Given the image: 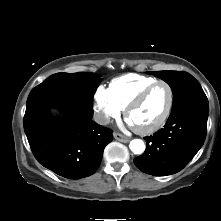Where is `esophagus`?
Segmentation results:
<instances>
[{
	"mask_svg": "<svg viewBox=\"0 0 221 221\" xmlns=\"http://www.w3.org/2000/svg\"><path fill=\"white\" fill-rule=\"evenodd\" d=\"M114 138L120 142L127 143L129 142V138L121 133H114Z\"/></svg>",
	"mask_w": 221,
	"mask_h": 221,
	"instance_id": "34e87169",
	"label": "esophagus"
}]
</instances>
